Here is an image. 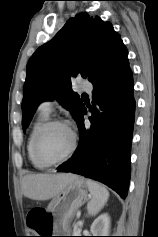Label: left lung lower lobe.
Masks as SVG:
<instances>
[{"mask_svg":"<svg viewBox=\"0 0 158 237\" xmlns=\"http://www.w3.org/2000/svg\"><path fill=\"white\" fill-rule=\"evenodd\" d=\"M134 81L128 59L93 85L90 129L84 127L82 108L77 124L80 140L72 158L58 169L99 182L122 198L128 193L131 142L135 118Z\"/></svg>","mask_w":158,"mask_h":237,"instance_id":"obj_1","label":"left lung lower lobe"}]
</instances>
